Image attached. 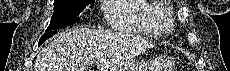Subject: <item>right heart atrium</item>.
I'll use <instances>...</instances> for the list:
<instances>
[{
    "mask_svg": "<svg viewBox=\"0 0 230 71\" xmlns=\"http://www.w3.org/2000/svg\"><path fill=\"white\" fill-rule=\"evenodd\" d=\"M112 2H114V0H106V3H107V4L112 3ZM105 13H106V17H107V10H106Z\"/></svg>",
    "mask_w": 230,
    "mask_h": 71,
    "instance_id": "obj_1",
    "label": "right heart atrium"
}]
</instances>
